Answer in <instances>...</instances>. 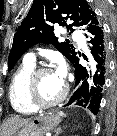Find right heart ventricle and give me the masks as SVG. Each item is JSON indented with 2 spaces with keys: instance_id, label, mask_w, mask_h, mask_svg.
Returning a JSON list of instances; mask_svg holds the SVG:
<instances>
[{
  "instance_id": "1",
  "label": "right heart ventricle",
  "mask_w": 117,
  "mask_h": 136,
  "mask_svg": "<svg viewBox=\"0 0 117 136\" xmlns=\"http://www.w3.org/2000/svg\"><path fill=\"white\" fill-rule=\"evenodd\" d=\"M34 69L33 62L24 60L11 79L9 100L12 108L22 115L33 114L37 111L27 99V82Z\"/></svg>"
}]
</instances>
